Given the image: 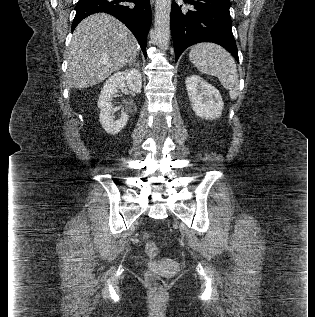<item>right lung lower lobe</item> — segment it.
I'll return each mask as SVG.
<instances>
[{"label":"right lung lower lobe","mask_w":315,"mask_h":317,"mask_svg":"<svg viewBox=\"0 0 315 317\" xmlns=\"http://www.w3.org/2000/svg\"><path fill=\"white\" fill-rule=\"evenodd\" d=\"M127 2L135 5L130 6ZM75 10L72 31L81 20L91 14L97 12L111 14L130 29L146 56V37L152 19L149 0H79Z\"/></svg>","instance_id":"98d812e1"}]
</instances>
